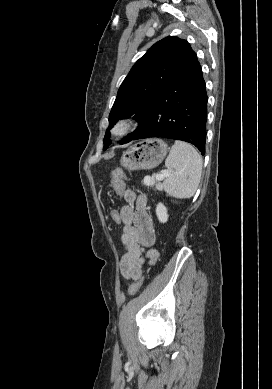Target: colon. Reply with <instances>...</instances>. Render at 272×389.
Segmentation results:
<instances>
[{"label":"colon","mask_w":272,"mask_h":389,"mask_svg":"<svg viewBox=\"0 0 272 389\" xmlns=\"http://www.w3.org/2000/svg\"><path fill=\"white\" fill-rule=\"evenodd\" d=\"M124 178H125L124 173L120 169H114L111 172L112 187L115 193L118 195H122L124 193L125 190ZM111 218L115 224L119 225L121 223L120 211L117 209H113L111 211ZM142 286H143V278H140L130 286V290H129L130 294L131 295L137 294L142 288Z\"/></svg>","instance_id":"colon-1"}]
</instances>
